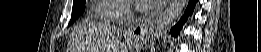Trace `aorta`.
<instances>
[{"mask_svg": "<svg viewBox=\"0 0 261 52\" xmlns=\"http://www.w3.org/2000/svg\"><path fill=\"white\" fill-rule=\"evenodd\" d=\"M186 4L187 0H171L153 25L154 35L169 27L180 16Z\"/></svg>", "mask_w": 261, "mask_h": 52, "instance_id": "aorta-1", "label": "aorta"}]
</instances>
